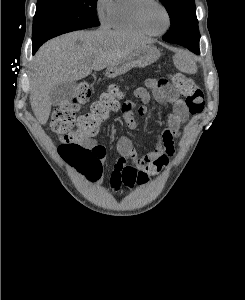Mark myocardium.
Returning <instances> with one entry per match:
<instances>
[{
	"label": "myocardium",
	"instance_id": "obj_1",
	"mask_svg": "<svg viewBox=\"0 0 245 300\" xmlns=\"http://www.w3.org/2000/svg\"><path fill=\"white\" fill-rule=\"evenodd\" d=\"M150 5H155V6L159 7L165 15L166 24L160 30L151 29L146 22L145 12H146L147 7ZM135 14H136V20H137L139 26L149 35H160V34L164 33L170 27V24H171V16H170L169 10L159 0H139V3L136 7Z\"/></svg>",
	"mask_w": 245,
	"mask_h": 300
}]
</instances>
